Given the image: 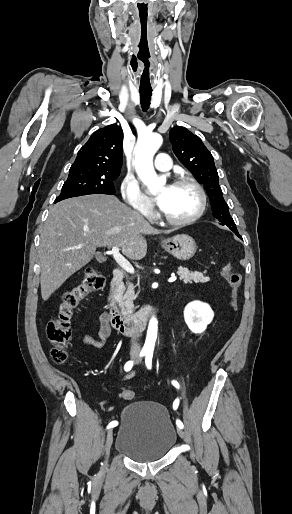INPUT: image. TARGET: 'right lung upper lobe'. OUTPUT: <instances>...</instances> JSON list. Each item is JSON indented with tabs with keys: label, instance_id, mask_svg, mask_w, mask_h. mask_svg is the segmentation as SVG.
<instances>
[{
	"label": "right lung upper lobe",
	"instance_id": "1",
	"mask_svg": "<svg viewBox=\"0 0 292 514\" xmlns=\"http://www.w3.org/2000/svg\"><path fill=\"white\" fill-rule=\"evenodd\" d=\"M123 131L116 124L95 131L78 151L69 174L119 175L123 163Z\"/></svg>",
	"mask_w": 292,
	"mask_h": 514
}]
</instances>
